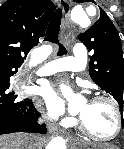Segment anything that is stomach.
Instances as JSON below:
<instances>
[{
	"instance_id": "0dacf381",
	"label": "stomach",
	"mask_w": 124,
	"mask_h": 149,
	"mask_svg": "<svg viewBox=\"0 0 124 149\" xmlns=\"http://www.w3.org/2000/svg\"><path fill=\"white\" fill-rule=\"evenodd\" d=\"M87 149H112V148L106 146H100V147L94 146L93 148H87Z\"/></svg>"
}]
</instances>
